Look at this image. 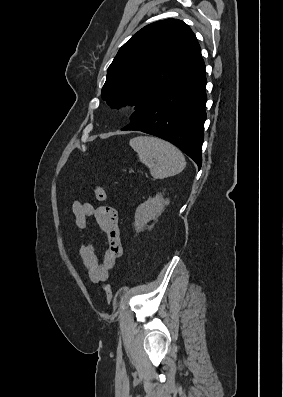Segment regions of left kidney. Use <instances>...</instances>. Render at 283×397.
Here are the masks:
<instances>
[{
    "label": "left kidney",
    "mask_w": 283,
    "mask_h": 397,
    "mask_svg": "<svg viewBox=\"0 0 283 397\" xmlns=\"http://www.w3.org/2000/svg\"><path fill=\"white\" fill-rule=\"evenodd\" d=\"M169 202V199H164L161 194H158L140 204L135 212L134 226L136 232L143 231L147 223L160 215Z\"/></svg>",
    "instance_id": "5707ae66"
}]
</instances>
